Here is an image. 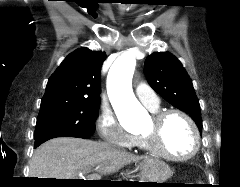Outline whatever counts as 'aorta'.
I'll return each instance as SVG.
<instances>
[{
	"label": "aorta",
	"instance_id": "762f6f07",
	"mask_svg": "<svg viewBox=\"0 0 240 187\" xmlns=\"http://www.w3.org/2000/svg\"><path fill=\"white\" fill-rule=\"evenodd\" d=\"M136 66L135 54L128 51L112 64L107 76V93L118 118L128 116L133 121L147 117V112L132 90V78Z\"/></svg>",
	"mask_w": 240,
	"mask_h": 187
}]
</instances>
